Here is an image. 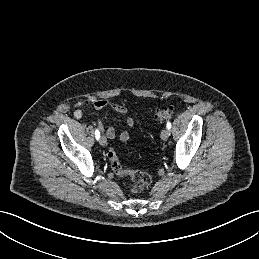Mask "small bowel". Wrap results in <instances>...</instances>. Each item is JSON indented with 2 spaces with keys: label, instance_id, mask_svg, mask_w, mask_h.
Instances as JSON below:
<instances>
[{
  "label": "small bowel",
  "instance_id": "c3829d8e",
  "mask_svg": "<svg viewBox=\"0 0 259 259\" xmlns=\"http://www.w3.org/2000/svg\"><path fill=\"white\" fill-rule=\"evenodd\" d=\"M107 107L113 109L117 114L124 116L126 125L128 127L133 126V119L128 116L127 109L123 105L105 99L79 101L75 104L74 116L76 118H81L85 110H101ZM97 125L102 130L106 138L109 140H118L120 142H126L130 137L128 131L123 130L117 133L113 127H106L101 120H97Z\"/></svg>",
  "mask_w": 259,
  "mask_h": 259
}]
</instances>
